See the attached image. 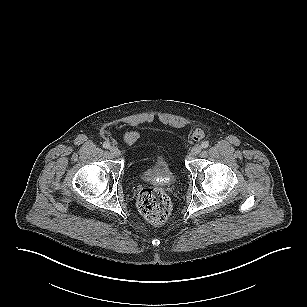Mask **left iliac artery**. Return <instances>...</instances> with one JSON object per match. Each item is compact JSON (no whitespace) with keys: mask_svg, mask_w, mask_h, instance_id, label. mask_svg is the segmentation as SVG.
Masks as SVG:
<instances>
[{"mask_svg":"<svg viewBox=\"0 0 307 307\" xmlns=\"http://www.w3.org/2000/svg\"><path fill=\"white\" fill-rule=\"evenodd\" d=\"M202 148H207L209 146V142L208 141H203L201 143Z\"/></svg>","mask_w":307,"mask_h":307,"instance_id":"obj_1","label":"left iliac artery"}]
</instances>
